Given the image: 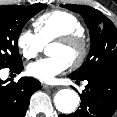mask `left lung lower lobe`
Listing matches in <instances>:
<instances>
[{
  "instance_id": "0a47b994",
  "label": "left lung lower lobe",
  "mask_w": 117,
  "mask_h": 117,
  "mask_svg": "<svg viewBox=\"0 0 117 117\" xmlns=\"http://www.w3.org/2000/svg\"><path fill=\"white\" fill-rule=\"evenodd\" d=\"M69 77L76 79L71 75ZM85 80L88 85L80 95V109L59 117H112L117 109V66L100 70Z\"/></svg>"
}]
</instances>
